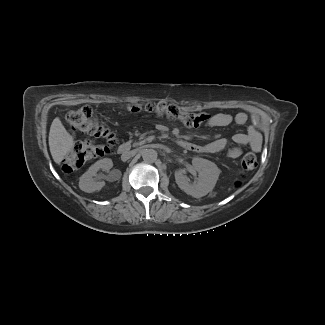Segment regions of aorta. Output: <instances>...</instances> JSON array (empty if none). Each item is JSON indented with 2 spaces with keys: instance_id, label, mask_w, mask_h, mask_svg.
I'll return each instance as SVG.
<instances>
[{
  "instance_id": "1",
  "label": "aorta",
  "mask_w": 325,
  "mask_h": 325,
  "mask_svg": "<svg viewBox=\"0 0 325 325\" xmlns=\"http://www.w3.org/2000/svg\"><path fill=\"white\" fill-rule=\"evenodd\" d=\"M157 151L154 149H145L142 152V158L147 163H153L157 160Z\"/></svg>"
}]
</instances>
